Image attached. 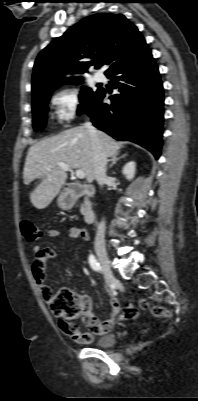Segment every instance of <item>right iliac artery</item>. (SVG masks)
<instances>
[{"label": "right iliac artery", "mask_w": 198, "mask_h": 401, "mask_svg": "<svg viewBox=\"0 0 198 401\" xmlns=\"http://www.w3.org/2000/svg\"><path fill=\"white\" fill-rule=\"evenodd\" d=\"M89 263L91 268L96 271L99 272L100 270V264L98 263V261L96 260V258L94 257V255H90L89 256Z\"/></svg>", "instance_id": "obj_1"}]
</instances>
